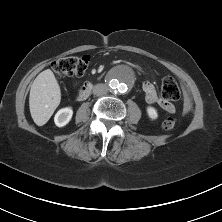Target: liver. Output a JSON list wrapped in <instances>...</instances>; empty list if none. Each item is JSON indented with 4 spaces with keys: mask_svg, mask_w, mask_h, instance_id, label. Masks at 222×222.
Wrapping results in <instances>:
<instances>
[{
    "mask_svg": "<svg viewBox=\"0 0 222 222\" xmlns=\"http://www.w3.org/2000/svg\"><path fill=\"white\" fill-rule=\"evenodd\" d=\"M60 101L61 90L54 73L50 69L42 71L35 78L29 95L30 113L35 124H46Z\"/></svg>",
    "mask_w": 222,
    "mask_h": 222,
    "instance_id": "liver-1",
    "label": "liver"
}]
</instances>
